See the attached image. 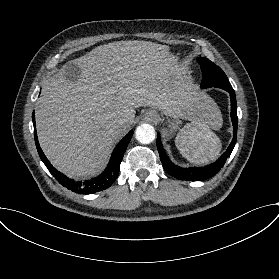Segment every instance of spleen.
I'll use <instances>...</instances> for the list:
<instances>
[{
  "instance_id": "spleen-1",
  "label": "spleen",
  "mask_w": 279,
  "mask_h": 279,
  "mask_svg": "<svg viewBox=\"0 0 279 279\" xmlns=\"http://www.w3.org/2000/svg\"><path fill=\"white\" fill-rule=\"evenodd\" d=\"M205 103L203 117L185 125L176 137V145L190 161L207 162L216 158L221 150L219 138L211 131L222 126V117L215 102L202 95Z\"/></svg>"
}]
</instances>
